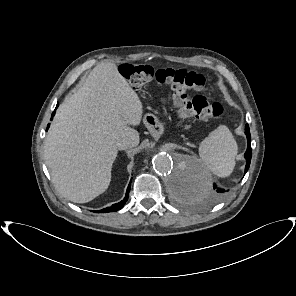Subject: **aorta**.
<instances>
[{
    "label": "aorta",
    "mask_w": 296,
    "mask_h": 296,
    "mask_svg": "<svg viewBox=\"0 0 296 296\" xmlns=\"http://www.w3.org/2000/svg\"><path fill=\"white\" fill-rule=\"evenodd\" d=\"M153 169L163 177L169 196L178 203L203 200L210 191V182L198 160L189 155L157 153Z\"/></svg>",
    "instance_id": "762f6f07"
}]
</instances>
